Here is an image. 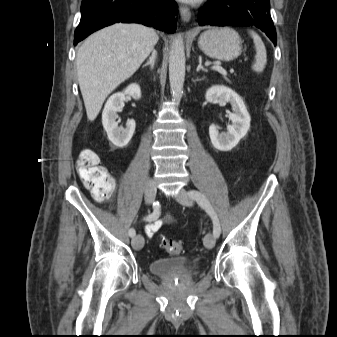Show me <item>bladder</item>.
Segmentation results:
<instances>
[{
    "label": "bladder",
    "mask_w": 337,
    "mask_h": 337,
    "mask_svg": "<svg viewBox=\"0 0 337 337\" xmlns=\"http://www.w3.org/2000/svg\"><path fill=\"white\" fill-rule=\"evenodd\" d=\"M198 263L184 258H160L150 264L151 271L161 277L175 274L189 276L198 269Z\"/></svg>",
    "instance_id": "1"
}]
</instances>
